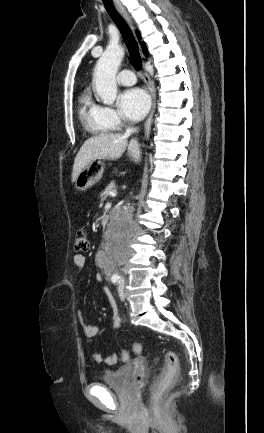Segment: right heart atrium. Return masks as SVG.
<instances>
[{
  "label": "right heart atrium",
  "mask_w": 264,
  "mask_h": 433,
  "mask_svg": "<svg viewBox=\"0 0 264 433\" xmlns=\"http://www.w3.org/2000/svg\"><path fill=\"white\" fill-rule=\"evenodd\" d=\"M101 113L105 122L112 128H118L122 125V119L118 112L108 106H100Z\"/></svg>",
  "instance_id": "1"
}]
</instances>
